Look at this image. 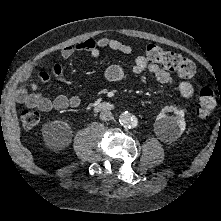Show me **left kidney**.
<instances>
[{
    "mask_svg": "<svg viewBox=\"0 0 221 221\" xmlns=\"http://www.w3.org/2000/svg\"><path fill=\"white\" fill-rule=\"evenodd\" d=\"M167 112H174L176 116H167ZM186 128L184 110L175 106H166L158 114L155 121L156 132L164 139L176 140Z\"/></svg>",
    "mask_w": 221,
    "mask_h": 221,
    "instance_id": "left-kidney-1",
    "label": "left kidney"
}]
</instances>
